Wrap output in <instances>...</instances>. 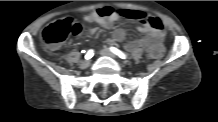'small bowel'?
I'll return each mask as SVG.
<instances>
[{
  "label": "small bowel",
  "mask_w": 218,
  "mask_h": 122,
  "mask_svg": "<svg viewBox=\"0 0 218 122\" xmlns=\"http://www.w3.org/2000/svg\"><path fill=\"white\" fill-rule=\"evenodd\" d=\"M120 18H122V15L120 14L119 10H116L110 6L100 7L83 16V20L85 22L97 23L106 29L111 28L113 24ZM137 29L140 33L144 34V37L128 43L127 49L129 51L144 49L150 58H155L154 52L158 50L159 46H162V42L165 38V32L163 28H155L147 23H141ZM97 31L98 29L96 27H92L89 29L88 33L90 36H94ZM125 36V31L121 28H118L113 32L112 41H123Z\"/></svg>",
  "instance_id": "1"
}]
</instances>
